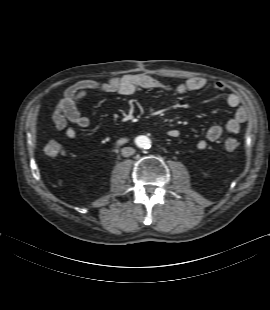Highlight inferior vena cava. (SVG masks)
I'll return each instance as SVG.
<instances>
[{"mask_svg":"<svg viewBox=\"0 0 270 310\" xmlns=\"http://www.w3.org/2000/svg\"><path fill=\"white\" fill-rule=\"evenodd\" d=\"M135 153V150L132 147H124L122 149V155L124 157H129Z\"/></svg>","mask_w":270,"mask_h":310,"instance_id":"obj_1","label":"inferior vena cava"}]
</instances>
